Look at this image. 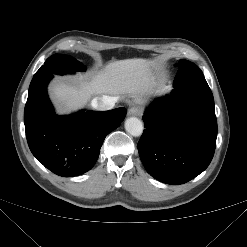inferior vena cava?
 I'll return each mask as SVG.
<instances>
[{
    "label": "inferior vena cava",
    "instance_id": "1",
    "mask_svg": "<svg viewBox=\"0 0 247 247\" xmlns=\"http://www.w3.org/2000/svg\"><path fill=\"white\" fill-rule=\"evenodd\" d=\"M117 101H118V97L116 96L103 95L94 98L91 102V106L96 110L105 111L112 109Z\"/></svg>",
    "mask_w": 247,
    "mask_h": 247
}]
</instances>
